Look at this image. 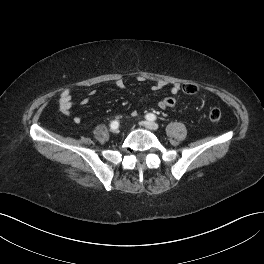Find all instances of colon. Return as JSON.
Returning a JSON list of instances; mask_svg holds the SVG:
<instances>
[{
    "label": "colon",
    "mask_w": 264,
    "mask_h": 264,
    "mask_svg": "<svg viewBox=\"0 0 264 264\" xmlns=\"http://www.w3.org/2000/svg\"><path fill=\"white\" fill-rule=\"evenodd\" d=\"M182 90L184 93L192 95L197 93L198 87L194 83H185L182 85ZM160 102L164 106V108L168 109H174L177 105V102L173 97H166ZM208 116L210 120L217 122L221 119V111L218 108H211L208 113Z\"/></svg>",
    "instance_id": "colon-1"
}]
</instances>
